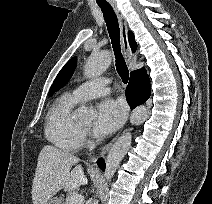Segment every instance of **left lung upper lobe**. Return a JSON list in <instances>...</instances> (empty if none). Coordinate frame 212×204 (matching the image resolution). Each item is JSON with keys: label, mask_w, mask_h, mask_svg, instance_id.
<instances>
[{"label": "left lung upper lobe", "mask_w": 212, "mask_h": 204, "mask_svg": "<svg viewBox=\"0 0 212 204\" xmlns=\"http://www.w3.org/2000/svg\"><path fill=\"white\" fill-rule=\"evenodd\" d=\"M77 63V58H72L67 64L60 70L57 77L54 80L53 85L50 88L49 96L53 95L61 87H63L72 77L74 68Z\"/></svg>", "instance_id": "1"}]
</instances>
